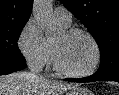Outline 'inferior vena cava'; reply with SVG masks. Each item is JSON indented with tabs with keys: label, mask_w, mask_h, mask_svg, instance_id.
<instances>
[{
	"label": "inferior vena cava",
	"mask_w": 119,
	"mask_h": 95,
	"mask_svg": "<svg viewBox=\"0 0 119 95\" xmlns=\"http://www.w3.org/2000/svg\"><path fill=\"white\" fill-rule=\"evenodd\" d=\"M29 75H30V77H32V78H37V75H36V74L30 73Z\"/></svg>",
	"instance_id": "1"
}]
</instances>
